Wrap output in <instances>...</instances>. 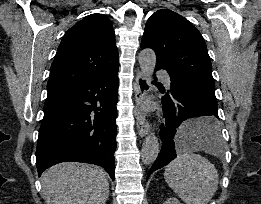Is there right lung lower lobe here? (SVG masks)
Here are the masks:
<instances>
[{
  "mask_svg": "<svg viewBox=\"0 0 261 204\" xmlns=\"http://www.w3.org/2000/svg\"><path fill=\"white\" fill-rule=\"evenodd\" d=\"M118 67L101 76L48 90L36 164L41 173L60 162L99 165L115 173Z\"/></svg>",
  "mask_w": 261,
  "mask_h": 204,
  "instance_id": "obj_1",
  "label": "right lung lower lobe"
}]
</instances>
